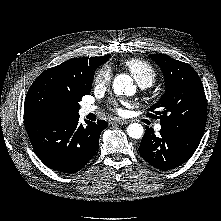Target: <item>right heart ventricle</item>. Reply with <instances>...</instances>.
<instances>
[{"instance_id":"e07e8e85","label":"right heart ventricle","mask_w":221,"mask_h":221,"mask_svg":"<svg viewBox=\"0 0 221 221\" xmlns=\"http://www.w3.org/2000/svg\"><path fill=\"white\" fill-rule=\"evenodd\" d=\"M123 64L141 87H150L157 78L155 68L143 59L131 58Z\"/></svg>"}]
</instances>
